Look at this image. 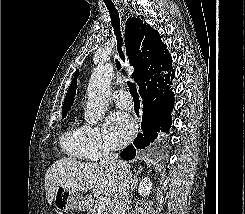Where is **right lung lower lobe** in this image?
I'll return each instance as SVG.
<instances>
[{"instance_id":"right-lung-lower-lobe-1","label":"right lung lower lobe","mask_w":245,"mask_h":214,"mask_svg":"<svg viewBox=\"0 0 245 214\" xmlns=\"http://www.w3.org/2000/svg\"><path fill=\"white\" fill-rule=\"evenodd\" d=\"M172 59L154 68V70L147 75L139 86L140 95L143 103V118H142V133L138 134L134 140L136 148L143 149L150 145L159 131L168 132L171 121V111L174 107V92L169 90L167 84L170 83L171 72L158 77L163 70H171V78L175 76L171 66ZM158 73V75H155ZM159 83V85L157 84ZM135 147L128 146L121 152V158L130 160L135 157Z\"/></svg>"}]
</instances>
